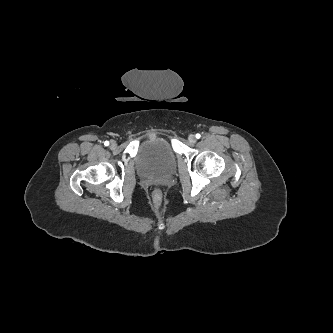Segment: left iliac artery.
Masks as SVG:
<instances>
[{"instance_id":"obj_1","label":"left iliac artery","mask_w":333,"mask_h":333,"mask_svg":"<svg viewBox=\"0 0 333 333\" xmlns=\"http://www.w3.org/2000/svg\"><path fill=\"white\" fill-rule=\"evenodd\" d=\"M201 135L199 133L196 134V138L199 139Z\"/></svg>"}]
</instances>
